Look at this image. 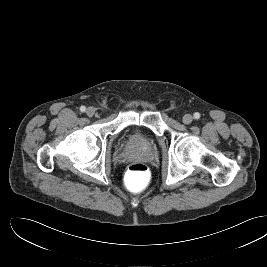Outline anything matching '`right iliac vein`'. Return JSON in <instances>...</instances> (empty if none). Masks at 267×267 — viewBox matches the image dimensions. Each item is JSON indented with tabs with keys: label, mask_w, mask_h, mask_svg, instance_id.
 Instances as JSON below:
<instances>
[{
	"label": "right iliac vein",
	"mask_w": 267,
	"mask_h": 267,
	"mask_svg": "<svg viewBox=\"0 0 267 267\" xmlns=\"http://www.w3.org/2000/svg\"><path fill=\"white\" fill-rule=\"evenodd\" d=\"M96 113V110L94 107H89L87 110H86V114L88 117H93Z\"/></svg>",
	"instance_id": "63e3f726"
}]
</instances>
